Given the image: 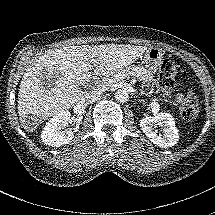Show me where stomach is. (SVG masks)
<instances>
[{"instance_id":"obj_1","label":"stomach","mask_w":215,"mask_h":215,"mask_svg":"<svg viewBox=\"0 0 215 215\" xmlns=\"http://www.w3.org/2000/svg\"><path fill=\"white\" fill-rule=\"evenodd\" d=\"M164 50L156 46H150L141 55V60L144 67L151 71H156L158 67L162 64L164 59Z\"/></svg>"}]
</instances>
